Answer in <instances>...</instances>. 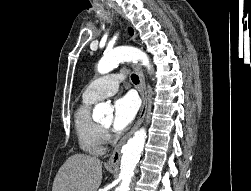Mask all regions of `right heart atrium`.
Instances as JSON below:
<instances>
[{"mask_svg": "<svg viewBox=\"0 0 251 191\" xmlns=\"http://www.w3.org/2000/svg\"><path fill=\"white\" fill-rule=\"evenodd\" d=\"M104 131H105V139L106 141H108L110 139V135L106 129H104Z\"/></svg>", "mask_w": 251, "mask_h": 191, "instance_id": "right-heart-atrium-1", "label": "right heart atrium"}]
</instances>
